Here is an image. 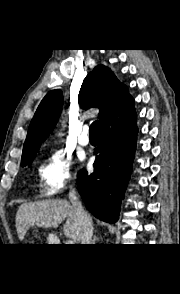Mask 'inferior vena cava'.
<instances>
[{
	"label": "inferior vena cava",
	"mask_w": 180,
	"mask_h": 294,
	"mask_svg": "<svg viewBox=\"0 0 180 294\" xmlns=\"http://www.w3.org/2000/svg\"><path fill=\"white\" fill-rule=\"evenodd\" d=\"M69 199L74 208L78 220V227L80 232V241L83 245L92 244L93 224L92 219L88 213L83 209L82 204L76 196L75 189L69 192Z\"/></svg>",
	"instance_id": "1"
}]
</instances>
